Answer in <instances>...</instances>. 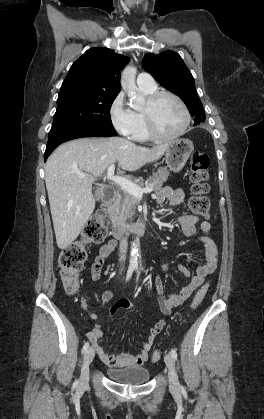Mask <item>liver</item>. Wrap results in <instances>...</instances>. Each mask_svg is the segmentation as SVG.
<instances>
[{"label":"liver","instance_id":"liver-1","mask_svg":"<svg viewBox=\"0 0 264 419\" xmlns=\"http://www.w3.org/2000/svg\"><path fill=\"white\" fill-rule=\"evenodd\" d=\"M168 146L147 148L120 137L81 138L59 146L45 168L58 247L67 248L80 234L95 208L92 183L110 165L118 161L123 170L135 171L161 158Z\"/></svg>","mask_w":264,"mask_h":419}]
</instances>
